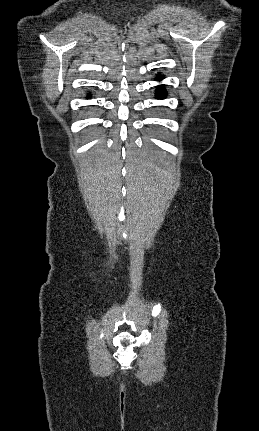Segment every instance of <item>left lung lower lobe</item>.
Returning a JSON list of instances; mask_svg holds the SVG:
<instances>
[{"label":"left lung lower lobe","mask_w":259,"mask_h":431,"mask_svg":"<svg viewBox=\"0 0 259 431\" xmlns=\"http://www.w3.org/2000/svg\"><path fill=\"white\" fill-rule=\"evenodd\" d=\"M156 79L161 80V79H163V76L159 75V76H157ZM156 94H157L158 99H163V98H165L166 92L162 86H158Z\"/></svg>","instance_id":"1"}]
</instances>
